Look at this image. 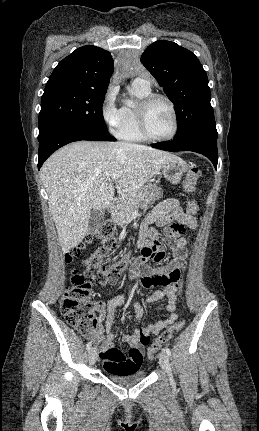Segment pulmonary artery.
I'll use <instances>...</instances> for the list:
<instances>
[{"label": "pulmonary artery", "mask_w": 259, "mask_h": 431, "mask_svg": "<svg viewBox=\"0 0 259 431\" xmlns=\"http://www.w3.org/2000/svg\"><path fill=\"white\" fill-rule=\"evenodd\" d=\"M150 79L148 77H137L133 80L132 86L138 87L141 89H150Z\"/></svg>", "instance_id": "obj_1"}]
</instances>
